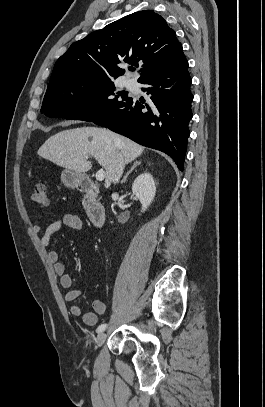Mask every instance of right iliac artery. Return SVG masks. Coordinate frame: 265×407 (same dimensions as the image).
I'll return each mask as SVG.
<instances>
[{"mask_svg": "<svg viewBox=\"0 0 265 407\" xmlns=\"http://www.w3.org/2000/svg\"><path fill=\"white\" fill-rule=\"evenodd\" d=\"M106 324H101L98 328H97V332L99 333V332H102V331H104L105 329H106Z\"/></svg>", "mask_w": 265, "mask_h": 407, "instance_id": "82829eb1", "label": "right iliac artery"}]
</instances>
